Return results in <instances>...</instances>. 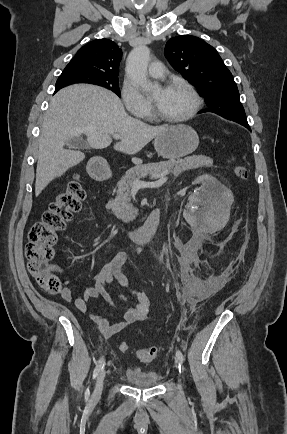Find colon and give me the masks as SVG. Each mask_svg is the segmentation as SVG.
I'll return each mask as SVG.
<instances>
[{
  "label": "colon",
  "mask_w": 287,
  "mask_h": 434,
  "mask_svg": "<svg viewBox=\"0 0 287 434\" xmlns=\"http://www.w3.org/2000/svg\"><path fill=\"white\" fill-rule=\"evenodd\" d=\"M234 170L240 179L247 178L248 172L245 167L235 166ZM85 197L84 186L79 176L75 175L50 203L41 220L34 223L29 231L25 247L28 270L40 287L50 295H58L62 291L60 279L50 268L59 233L65 230L74 215L80 211ZM119 349L121 352H126L129 346L123 342L119 345ZM159 352L160 348L157 346L139 349L137 358L148 362L156 358Z\"/></svg>",
  "instance_id": "1"
}]
</instances>
